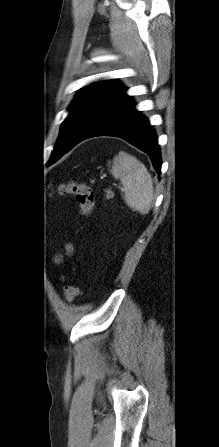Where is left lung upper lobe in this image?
I'll list each match as a JSON object with an SVG mask.
<instances>
[{
    "mask_svg": "<svg viewBox=\"0 0 219 447\" xmlns=\"http://www.w3.org/2000/svg\"><path fill=\"white\" fill-rule=\"evenodd\" d=\"M125 90L114 80L98 81L82 88L68 108L69 115L61 126L51 158L60 156L93 131L126 98Z\"/></svg>",
    "mask_w": 219,
    "mask_h": 447,
    "instance_id": "left-lung-upper-lobe-1",
    "label": "left lung upper lobe"
}]
</instances>
